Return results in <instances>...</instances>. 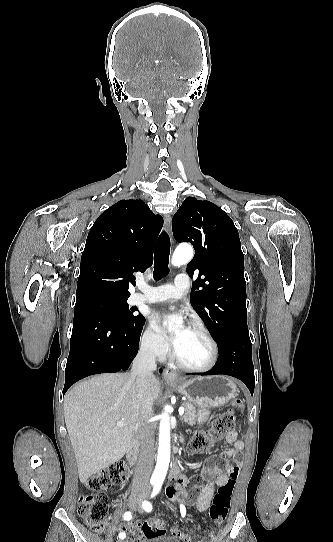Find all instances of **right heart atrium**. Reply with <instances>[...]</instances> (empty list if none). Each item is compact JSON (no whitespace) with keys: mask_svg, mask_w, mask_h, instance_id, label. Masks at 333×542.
Wrapping results in <instances>:
<instances>
[{"mask_svg":"<svg viewBox=\"0 0 333 542\" xmlns=\"http://www.w3.org/2000/svg\"><path fill=\"white\" fill-rule=\"evenodd\" d=\"M141 348L145 354L153 358L166 355L168 343L153 320H149L141 336Z\"/></svg>","mask_w":333,"mask_h":542,"instance_id":"d8ad5b80","label":"right heart atrium"}]
</instances>
